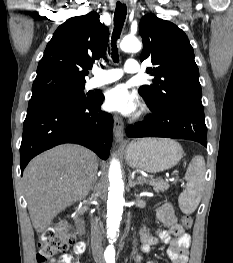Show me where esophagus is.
I'll use <instances>...</instances> for the list:
<instances>
[{
	"label": "esophagus",
	"mask_w": 233,
	"mask_h": 263,
	"mask_svg": "<svg viewBox=\"0 0 233 263\" xmlns=\"http://www.w3.org/2000/svg\"><path fill=\"white\" fill-rule=\"evenodd\" d=\"M123 1H126V0H123ZM113 120H114V136L117 142L123 143L124 142V122L121 119V117L118 116L117 114L113 116Z\"/></svg>",
	"instance_id": "obj_1"
}]
</instances>
